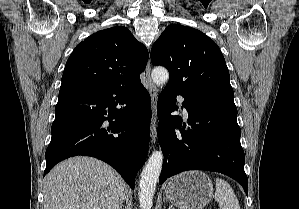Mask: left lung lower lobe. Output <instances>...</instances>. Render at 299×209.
<instances>
[{"instance_id": "left-lung-lower-lobe-1", "label": "left lung lower lobe", "mask_w": 299, "mask_h": 209, "mask_svg": "<svg viewBox=\"0 0 299 209\" xmlns=\"http://www.w3.org/2000/svg\"><path fill=\"white\" fill-rule=\"evenodd\" d=\"M176 95L184 97L183 105L189 113L187 127L183 123L182 128L180 116L170 115ZM157 112V135L165 158L160 184L186 170H208L230 176L248 194L233 94L183 91L166 85L158 98Z\"/></svg>"}]
</instances>
